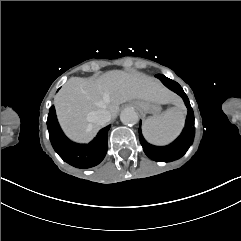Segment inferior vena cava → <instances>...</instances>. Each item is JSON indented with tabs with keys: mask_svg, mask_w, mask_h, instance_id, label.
I'll return each instance as SVG.
<instances>
[{
	"mask_svg": "<svg viewBox=\"0 0 241 241\" xmlns=\"http://www.w3.org/2000/svg\"><path fill=\"white\" fill-rule=\"evenodd\" d=\"M86 118L89 123H95L99 126H102L110 121L111 114L107 110L99 109L89 112Z\"/></svg>",
	"mask_w": 241,
	"mask_h": 241,
	"instance_id": "inferior-vena-cava-1",
	"label": "inferior vena cava"
}]
</instances>
